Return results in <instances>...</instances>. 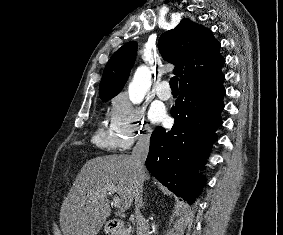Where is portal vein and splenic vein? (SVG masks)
Masks as SVG:
<instances>
[{
  "mask_svg": "<svg viewBox=\"0 0 283 235\" xmlns=\"http://www.w3.org/2000/svg\"><path fill=\"white\" fill-rule=\"evenodd\" d=\"M106 190H107V192H108L109 194H114V193L117 192L116 187L113 186V185H110V186L106 187ZM113 204H114V206H115L117 209H122V207H121V200H120V198H119L118 196H116V195H115L114 198H113Z\"/></svg>",
  "mask_w": 283,
  "mask_h": 235,
  "instance_id": "1",
  "label": "portal vein and splenic vein"
}]
</instances>
